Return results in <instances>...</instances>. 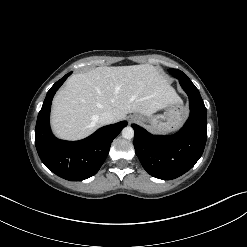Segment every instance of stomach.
Returning <instances> with one entry per match:
<instances>
[{"label": "stomach", "mask_w": 247, "mask_h": 247, "mask_svg": "<svg viewBox=\"0 0 247 247\" xmlns=\"http://www.w3.org/2000/svg\"><path fill=\"white\" fill-rule=\"evenodd\" d=\"M188 116V110L183 105L182 100L169 102L164 105L163 113L152 116L139 115L138 119L141 124L159 134H167L178 130L185 122Z\"/></svg>", "instance_id": "stomach-1"}]
</instances>
